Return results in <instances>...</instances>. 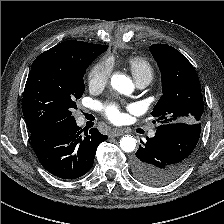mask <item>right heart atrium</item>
<instances>
[{"label": "right heart atrium", "mask_w": 224, "mask_h": 224, "mask_svg": "<svg viewBox=\"0 0 224 224\" xmlns=\"http://www.w3.org/2000/svg\"><path fill=\"white\" fill-rule=\"evenodd\" d=\"M112 73V63L110 61H99L95 63L88 73V84L92 89L104 88Z\"/></svg>", "instance_id": "d8ad5b80"}]
</instances>
